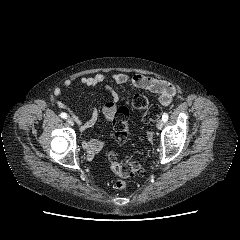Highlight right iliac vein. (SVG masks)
Wrapping results in <instances>:
<instances>
[{
	"mask_svg": "<svg viewBox=\"0 0 240 240\" xmlns=\"http://www.w3.org/2000/svg\"><path fill=\"white\" fill-rule=\"evenodd\" d=\"M67 122L69 125L73 126L74 125V120L71 117L67 118Z\"/></svg>",
	"mask_w": 240,
	"mask_h": 240,
	"instance_id": "63e3f726",
	"label": "right iliac vein"
}]
</instances>
